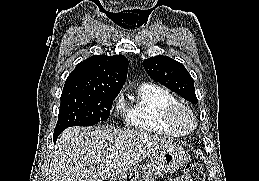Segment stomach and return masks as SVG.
Wrapping results in <instances>:
<instances>
[{"label":"stomach","instance_id":"obj_1","mask_svg":"<svg viewBox=\"0 0 259 181\" xmlns=\"http://www.w3.org/2000/svg\"><path fill=\"white\" fill-rule=\"evenodd\" d=\"M187 160L183 148L178 145L155 152L154 157L146 165H136L131 170L113 177L110 181H155L163 174L173 173Z\"/></svg>","mask_w":259,"mask_h":181}]
</instances>
